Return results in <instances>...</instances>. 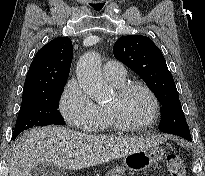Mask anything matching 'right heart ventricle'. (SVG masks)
<instances>
[{"mask_svg": "<svg viewBox=\"0 0 205 176\" xmlns=\"http://www.w3.org/2000/svg\"><path fill=\"white\" fill-rule=\"evenodd\" d=\"M108 80V79H107ZM109 83L116 89L120 88L125 84V79L121 81L108 80ZM113 119L108 111V106H99V118L94 125L95 132L100 134L109 133L114 129Z\"/></svg>", "mask_w": 205, "mask_h": 176, "instance_id": "e07e8e85", "label": "right heart ventricle"}]
</instances>
